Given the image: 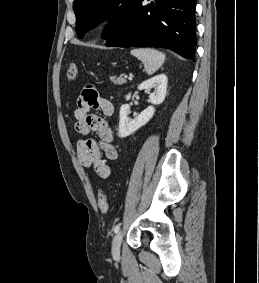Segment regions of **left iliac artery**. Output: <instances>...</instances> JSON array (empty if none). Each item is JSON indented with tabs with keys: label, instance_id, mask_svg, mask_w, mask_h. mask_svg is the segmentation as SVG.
<instances>
[{
	"label": "left iliac artery",
	"instance_id": "44dca946",
	"mask_svg": "<svg viewBox=\"0 0 259 283\" xmlns=\"http://www.w3.org/2000/svg\"><path fill=\"white\" fill-rule=\"evenodd\" d=\"M119 228H120V224H117L115 227H114V233H117L119 231Z\"/></svg>",
	"mask_w": 259,
	"mask_h": 283
}]
</instances>
